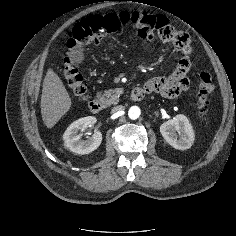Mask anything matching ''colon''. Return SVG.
Segmentation results:
<instances>
[{
	"label": "colon",
	"mask_w": 236,
	"mask_h": 236,
	"mask_svg": "<svg viewBox=\"0 0 236 236\" xmlns=\"http://www.w3.org/2000/svg\"><path fill=\"white\" fill-rule=\"evenodd\" d=\"M129 25L134 26L138 36L144 40L158 38L175 43L182 39V34L176 31L162 15L140 11H122L93 15L80 20L73 27L67 43L69 48L98 43L101 39L111 36ZM63 76L72 94L77 99L85 101L88 91L83 77L68 57L64 60ZM177 85L179 91H183L187 87V82L181 81ZM213 91L214 83L211 75L206 71L201 72L197 92L198 112L201 117H204L208 111Z\"/></svg>",
	"instance_id": "5ec220e1"
}]
</instances>
